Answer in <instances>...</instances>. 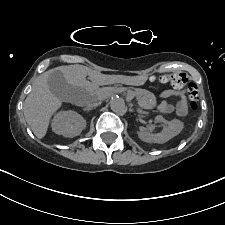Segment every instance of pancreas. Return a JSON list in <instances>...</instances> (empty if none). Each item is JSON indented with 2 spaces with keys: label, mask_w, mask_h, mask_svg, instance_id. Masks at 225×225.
<instances>
[{
  "label": "pancreas",
  "mask_w": 225,
  "mask_h": 225,
  "mask_svg": "<svg viewBox=\"0 0 225 225\" xmlns=\"http://www.w3.org/2000/svg\"><path fill=\"white\" fill-rule=\"evenodd\" d=\"M115 91V89L111 88H100L97 89L95 93L98 96L105 97L107 94ZM124 91L137 96L138 104L141 108L151 110L156 107V97L152 92L139 88H125Z\"/></svg>",
  "instance_id": "obj_1"
}]
</instances>
